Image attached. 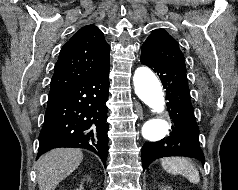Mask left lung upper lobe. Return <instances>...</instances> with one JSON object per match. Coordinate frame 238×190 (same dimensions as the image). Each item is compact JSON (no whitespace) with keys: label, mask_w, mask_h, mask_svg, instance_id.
I'll return each mask as SVG.
<instances>
[{"label":"left lung upper lobe","mask_w":238,"mask_h":190,"mask_svg":"<svg viewBox=\"0 0 238 190\" xmlns=\"http://www.w3.org/2000/svg\"><path fill=\"white\" fill-rule=\"evenodd\" d=\"M142 55L158 61L185 66L184 55L177 41L164 29H156L141 47Z\"/></svg>","instance_id":"1"}]
</instances>
